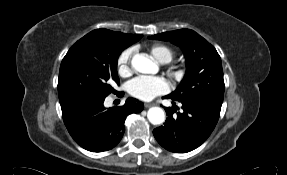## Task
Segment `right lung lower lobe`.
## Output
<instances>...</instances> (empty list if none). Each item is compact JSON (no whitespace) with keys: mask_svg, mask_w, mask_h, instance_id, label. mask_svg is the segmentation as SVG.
Segmentation results:
<instances>
[{"mask_svg":"<svg viewBox=\"0 0 287 175\" xmlns=\"http://www.w3.org/2000/svg\"><path fill=\"white\" fill-rule=\"evenodd\" d=\"M104 99L76 98L61 103L68 132L76 143L91 152L115 147L123 137L126 116L139 113L144 107L139 100L129 98L123 106L106 109Z\"/></svg>","mask_w":287,"mask_h":175,"instance_id":"98d812e1","label":"right lung lower lobe"}]
</instances>
